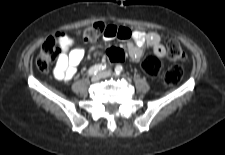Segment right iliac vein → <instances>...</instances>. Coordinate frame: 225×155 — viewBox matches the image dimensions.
Here are the masks:
<instances>
[{"label": "right iliac vein", "mask_w": 225, "mask_h": 155, "mask_svg": "<svg viewBox=\"0 0 225 155\" xmlns=\"http://www.w3.org/2000/svg\"><path fill=\"white\" fill-rule=\"evenodd\" d=\"M101 78H102V77H101V74L99 73V74L94 75V76L91 78V81H92V82H97V81H99Z\"/></svg>", "instance_id": "1"}]
</instances>
